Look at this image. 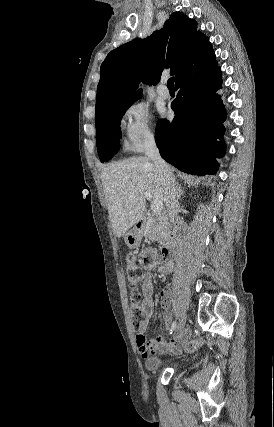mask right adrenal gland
<instances>
[{
    "mask_svg": "<svg viewBox=\"0 0 274 427\" xmlns=\"http://www.w3.org/2000/svg\"><path fill=\"white\" fill-rule=\"evenodd\" d=\"M178 186H179V184H178ZM182 194H183V190H181V188H180V186H179V190H178V198H181Z\"/></svg>",
    "mask_w": 274,
    "mask_h": 427,
    "instance_id": "obj_1",
    "label": "right adrenal gland"
}]
</instances>
